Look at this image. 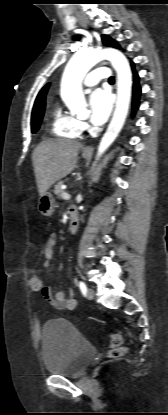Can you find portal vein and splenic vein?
I'll return each mask as SVG.
<instances>
[{"mask_svg": "<svg viewBox=\"0 0 168 415\" xmlns=\"http://www.w3.org/2000/svg\"><path fill=\"white\" fill-rule=\"evenodd\" d=\"M62 198L69 199L70 198V194H68L67 192H63L62 193Z\"/></svg>", "mask_w": 168, "mask_h": 415, "instance_id": "obj_1", "label": "portal vein and splenic vein"}]
</instances>
